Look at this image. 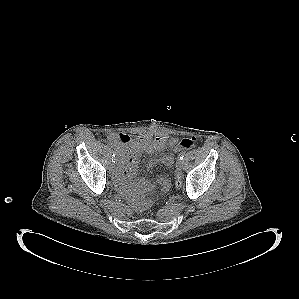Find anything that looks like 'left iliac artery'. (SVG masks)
I'll return each instance as SVG.
<instances>
[{"mask_svg": "<svg viewBox=\"0 0 299 299\" xmlns=\"http://www.w3.org/2000/svg\"><path fill=\"white\" fill-rule=\"evenodd\" d=\"M184 155H185V152H181L180 155H179V158H180L181 160H183Z\"/></svg>", "mask_w": 299, "mask_h": 299, "instance_id": "obj_1", "label": "left iliac artery"}]
</instances>
